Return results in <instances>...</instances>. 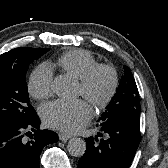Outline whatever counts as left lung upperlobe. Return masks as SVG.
I'll return each mask as SVG.
<instances>
[{"label":"left lung upper lobe","instance_id":"1","mask_svg":"<svg viewBox=\"0 0 168 168\" xmlns=\"http://www.w3.org/2000/svg\"><path fill=\"white\" fill-rule=\"evenodd\" d=\"M124 76L120 80L117 92L106 107L101 117L104 119L111 115L132 114L140 116L141 106L138 89L131 70L124 66ZM100 120V119H99Z\"/></svg>","mask_w":168,"mask_h":168}]
</instances>
